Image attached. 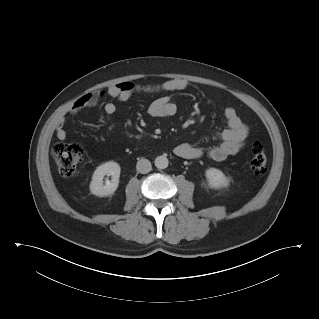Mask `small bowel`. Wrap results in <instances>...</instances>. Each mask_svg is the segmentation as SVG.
<instances>
[{"label":"small bowel","mask_w":319,"mask_h":319,"mask_svg":"<svg viewBox=\"0 0 319 319\" xmlns=\"http://www.w3.org/2000/svg\"><path fill=\"white\" fill-rule=\"evenodd\" d=\"M187 88L188 82L182 78L169 79L161 84L134 85L128 82L113 84L104 91L80 96L72 103L68 112L71 115H75L85 108L99 104L105 96H109L115 100L109 101L104 105V112L107 118H110L117 110L116 102H125L134 94L162 93L148 108V114L154 119H167L173 117L177 112V106L173 101L172 94L185 91ZM224 117L226 128L219 134L221 143L206 152L208 157L215 161L225 160L242 149L249 132L248 126L241 120L234 108H225ZM55 136L59 140L67 138L64 121L56 128ZM174 152L177 156L185 159H198L204 154L202 148L187 142L176 145Z\"/></svg>","instance_id":"obj_1"}]
</instances>
